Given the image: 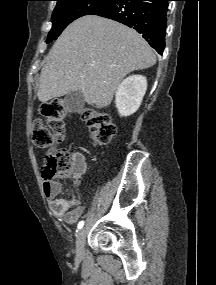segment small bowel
Instances as JSON below:
<instances>
[{"label":"small bowel","mask_w":216,"mask_h":285,"mask_svg":"<svg viewBox=\"0 0 216 285\" xmlns=\"http://www.w3.org/2000/svg\"><path fill=\"white\" fill-rule=\"evenodd\" d=\"M87 164L82 154H74L71 174L75 186L76 194L74 198H60L62 186L59 182L45 180L43 189L46 197L50 200L52 213L68 224H74L85 211V197L79 189L81 178L85 174Z\"/></svg>","instance_id":"c3829d8e"}]
</instances>
